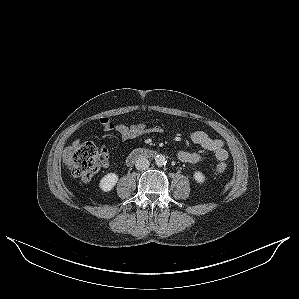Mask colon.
Masks as SVG:
<instances>
[{"label":"colon","instance_id":"1","mask_svg":"<svg viewBox=\"0 0 299 299\" xmlns=\"http://www.w3.org/2000/svg\"><path fill=\"white\" fill-rule=\"evenodd\" d=\"M63 161L73 176L82 181L90 180L106 162L105 155L90 141L77 142L66 149ZM226 163H219L217 173L226 170Z\"/></svg>","mask_w":299,"mask_h":299}]
</instances>
